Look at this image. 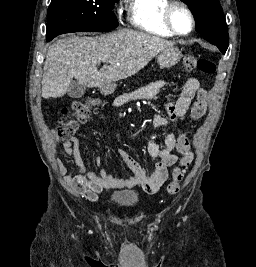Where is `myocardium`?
Wrapping results in <instances>:
<instances>
[{"instance_id":"obj_1","label":"myocardium","mask_w":256,"mask_h":267,"mask_svg":"<svg viewBox=\"0 0 256 267\" xmlns=\"http://www.w3.org/2000/svg\"><path fill=\"white\" fill-rule=\"evenodd\" d=\"M174 6L180 7L181 9H183L189 16L190 18V29L188 32L186 33H182L180 31H178V29L176 28L171 13H172V9ZM164 20L167 24V26L170 28V30L177 36H182V37H186L189 36L195 28V18L194 15L192 13V11L181 1H173L172 5L170 7H167V9L165 10L164 13Z\"/></svg>"}]
</instances>
